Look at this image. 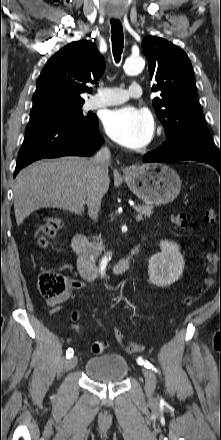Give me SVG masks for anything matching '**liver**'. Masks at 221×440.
<instances>
[{
  "label": "liver",
  "mask_w": 221,
  "mask_h": 440,
  "mask_svg": "<svg viewBox=\"0 0 221 440\" xmlns=\"http://www.w3.org/2000/svg\"><path fill=\"white\" fill-rule=\"evenodd\" d=\"M89 161L69 156L37 161L21 170L13 186L17 224L41 208H60L81 215L91 181ZM108 187L109 179L103 194Z\"/></svg>",
  "instance_id": "1"
}]
</instances>
